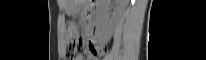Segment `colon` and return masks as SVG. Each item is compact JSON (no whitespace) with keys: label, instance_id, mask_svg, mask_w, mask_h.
<instances>
[{"label":"colon","instance_id":"5ec220e1","mask_svg":"<svg viewBox=\"0 0 206 60\" xmlns=\"http://www.w3.org/2000/svg\"><path fill=\"white\" fill-rule=\"evenodd\" d=\"M66 31L68 37L67 57L69 60H75L82 47L77 25L74 22H69L66 26Z\"/></svg>","mask_w":206,"mask_h":60}]
</instances>
